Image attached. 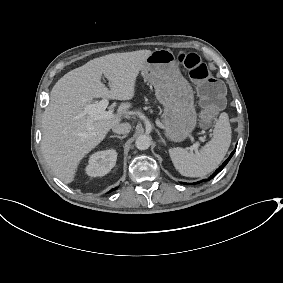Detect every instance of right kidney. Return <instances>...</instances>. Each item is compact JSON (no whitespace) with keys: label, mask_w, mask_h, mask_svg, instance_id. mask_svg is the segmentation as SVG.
<instances>
[{"label":"right kidney","mask_w":283,"mask_h":283,"mask_svg":"<svg viewBox=\"0 0 283 283\" xmlns=\"http://www.w3.org/2000/svg\"><path fill=\"white\" fill-rule=\"evenodd\" d=\"M116 160L117 152L114 149L96 152L89 158L86 174L91 177L104 176L115 166Z\"/></svg>","instance_id":"ca27d5eb"}]
</instances>
